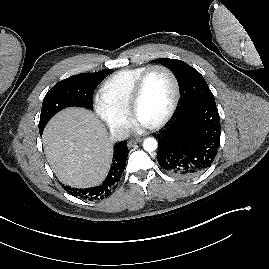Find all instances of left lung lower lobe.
<instances>
[{
	"instance_id": "1",
	"label": "left lung lower lobe",
	"mask_w": 269,
	"mask_h": 269,
	"mask_svg": "<svg viewBox=\"0 0 269 269\" xmlns=\"http://www.w3.org/2000/svg\"><path fill=\"white\" fill-rule=\"evenodd\" d=\"M158 163L178 178H193L213 163L220 143V116L216 104H193L180 111L174 123L155 135Z\"/></svg>"
}]
</instances>
